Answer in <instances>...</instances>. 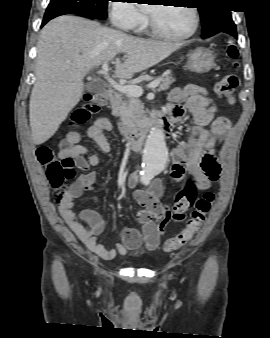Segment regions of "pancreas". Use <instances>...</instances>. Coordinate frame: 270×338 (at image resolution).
<instances>
[{
	"mask_svg": "<svg viewBox=\"0 0 270 338\" xmlns=\"http://www.w3.org/2000/svg\"><path fill=\"white\" fill-rule=\"evenodd\" d=\"M161 82L158 91L169 89L170 85L175 82L172 74L160 78ZM122 100L116 106L115 111L120 117L119 129L125 133L127 129H134L140 125L144 117V106L138 97L124 94Z\"/></svg>",
	"mask_w": 270,
	"mask_h": 338,
	"instance_id": "obj_1",
	"label": "pancreas"
}]
</instances>
